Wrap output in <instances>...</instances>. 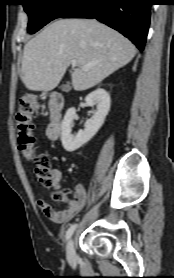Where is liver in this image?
<instances>
[{"label":"liver","instance_id":"1","mask_svg":"<svg viewBox=\"0 0 174 278\" xmlns=\"http://www.w3.org/2000/svg\"><path fill=\"white\" fill-rule=\"evenodd\" d=\"M135 54L126 37L95 19H59L24 46L20 78L28 90L51 91L75 60L72 85L83 91L127 65ZM85 65L90 66L86 71Z\"/></svg>","mask_w":174,"mask_h":278}]
</instances>
